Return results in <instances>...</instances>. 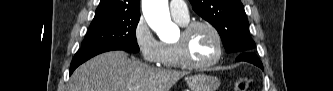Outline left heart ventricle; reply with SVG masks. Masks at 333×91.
<instances>
[{
	"instance_id": "obj_1",
	"label": "left heart ventricle",
	"mask_w": 333,
	"mask_h": 91,
	"mask_svg": "<svg viewBox=\"0 0 333 91\" xmlns=\"http://www.w3.org/2000/svg\"><path fill=\"white\" fill-rule=\"evenodd\" d=\"M189 53L194 62L211 60L217 53V42L212 32L205 27L196 28L189 41Z\"/></svg>"
}]
</instances>
